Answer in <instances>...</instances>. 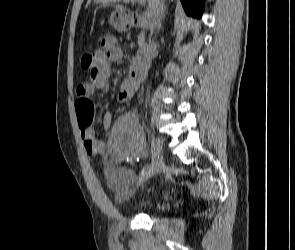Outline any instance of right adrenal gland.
Segmentation results:
<instances>
[{"mask_svg":"<svg viewBox=\"0 0 295 250\" xmlns=\"http://www.w3.org/2000/svg\"><path fill=\"white\" fill-rule=\"evenodd\" d=\"M165 17V13L163 14V16L161 17V20H160V23L158 25V30H160V28L162 27V20L164 19Z\"/></svg>","mask_w":295,"mask_h":250,"instance_id":"right-adrenal-gland-1","label":"right adrenal gland"}]
</instances>
